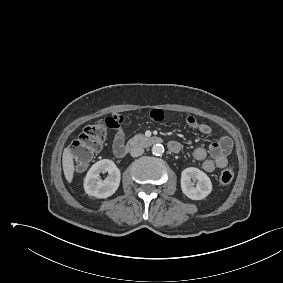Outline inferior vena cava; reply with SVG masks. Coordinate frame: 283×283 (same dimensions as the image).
Instances as JSON below:
<instances>
[{"instance_id": "inferior-vena-cava-1", "label": "inferior vena cava", "mask_w": 283, "mask_h": 283, "mask_svg": "<svg viewBox=\"0 0 283 283\" xmlns=\"http://www.w3.org/2000/svg\"><path fill=\"white\" fill-rule=\"evenodd\" d=\"M143 153H144V148L141 146H134L130 151L132 157L141 156Z\"/></svg>"}]
</instances>
